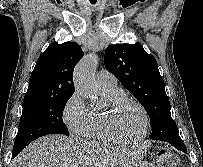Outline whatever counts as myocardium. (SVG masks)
Wrapping results in <instances>:
<instances>
[{
    "mask_svg": "<svg viewBox=\"0 0 203 167\" xmlns=\"http://www.w3.org/2000/svg\"><path fill=\"white\" fill-rule=\"evenodd\" d=\"M130 103L136 106L143 115V129L138 137L134 139H124L116 134L113 128V117L117 107L122 103ZM150 126V117L146 108L137 100L125 95L124 93L114 94L109 100L108 109L102 114V128L105 135L115 143L133 145L141 142L147 135Z\"/></svg>",
    "mask_w": 203,
    "mask_h": 167,
    "instance_id": "myocardium-1",
    "label": "myocardium"
}]
</instances>
